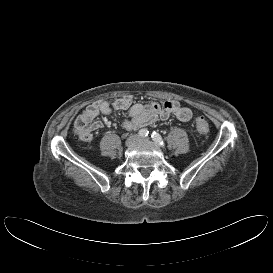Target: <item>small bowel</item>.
Instances as JSON below:
<instances>
[{
  "label": "small bowel",
  "instance_id": "obj_1",
  "mask_svg": "<svg viewBox=\"0 0 273 273\" xmlns=\"http://www.w3.org/2000/svg\"><path fill=\"white\" fill-rule=\"evenodd\" d=\"M113 110L129 111L130 118L122 122L123 128L128 131L153 124L159 119H167L172 115L182 122L189 121L192 117L191 110L177 101L140 104L134 103L131 97L126 96L113 102L100 100L87 106L74 121L75 134L83 142L92 141L93 133L103 126L101 121L96 120L97 116L108 115Z\"/></svg>",
  "mask_w": 273,
  "mask_h": 273
}]
</instances>
